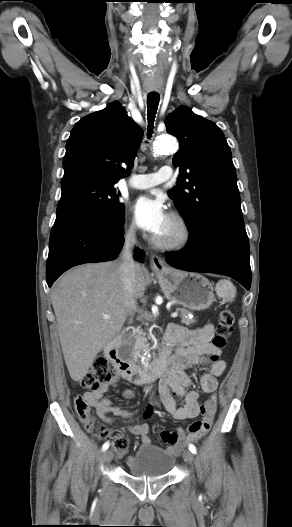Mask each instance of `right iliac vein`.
<instances>
[{"mask_svg":"<svg viewBox=\"0 0 292 527\" xmlns=\"http://www.w3.org/2000/svg\"><path fill=\"white\" fill-rule=\"evenodd\" d=\"M112 459H113L112 452L110 450L105 451L104 454H103L104 462L110 463L112 461Z\"/></svg>","mask_w":292,"mask_h":527,"instance_id":"63e3f726","label":"right iliac vein"}]
</instances>
